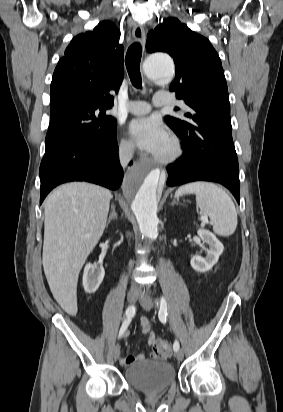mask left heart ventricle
<instances>
[{
	"label": "left heart ventricle",
	"instance_id": "left-heart-ventricle-1",
	"mask_svg": "<svg viewBox=\"0 0 283 412\" xmlns=\"http://www.w3.org/2000/svg\"><path fill=\"white\" fill-rule=\"evenodd\" d=\"M171 151V143L169 139L165 142L162 148L155 155H167Z\"/></svg>",
	"mask_w": 283,
	"mask_h": 412
}]
</instances>
